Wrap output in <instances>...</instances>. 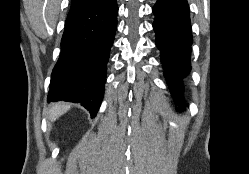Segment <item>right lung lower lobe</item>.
Instances as JSON below:
<instances>
[{"label": "right lung lower lobe", "instance_id": "obj_1", "mask_svg": "<svg viewBox=\"0 0 249 174\" xmlns=\"http://www.w3.org/2000/svg\"><path fill=\"white\" fill-rule=\"evenodd\" d=\"M116 0H100L69 11L48 102L81 103L95 117L101 105L106 65L117 28Z\"/></svg>", "mask_w": 249, "mask_h": 174}]
</instances>
